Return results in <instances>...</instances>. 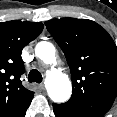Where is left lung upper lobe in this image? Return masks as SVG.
Returning a JSON list of instances; mask_svg holds the SVG:
<instances>
[{
  "label": "left lung upper lobe",
  "mask_w": 117,
  "mask_h": 117,
  "mask_svg": "<svg viewBox=\"0 0 117 117\" xmlns=\"http://www.w3.org/2000/svg\"><path fill=\"white\" fill-rule=\"evenodd\" d=\"M45 25L71 71L72 96L62 105L102 117L117 94V47L113 39L88 19H52Z\"/></svg>",
  "instance_id": "obj_1"
}]
</instances>
